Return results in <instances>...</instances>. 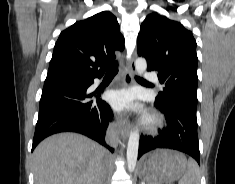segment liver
<instances>
[{
    "label": "liver",
    "mask_w": 235,
    "mask_h": 184,
    "mask_svg": "<svg viewBox=\"0 0 235 184\" xmlns=\"http://www.w3.org/2000/svg\"><path fill=\"white\" fill-rule=\"evenodd\" d=\"M110 156L80 134H54L33 152L35 184H100Z\"/></svg>",
    "instance_id": "1"
}]
</instances>
